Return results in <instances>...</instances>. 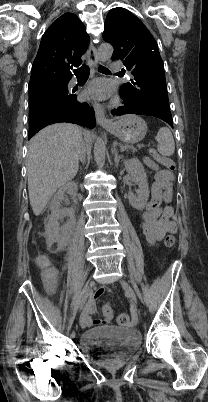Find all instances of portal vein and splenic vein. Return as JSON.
I'll use <instances>...</instances> for the list:
<instances>
[{
  "mask_svg": "<svg viewBox=\"0 0 208 402\" xmlns=\"http://www.w3.org/2000/svg\"><path fill=\"white\" fill-rule=\"evenodd\" d=\"M120 152H124V150H126V148H125V146H123V145H120Z\"/></svg>",
  "mask_w": 208,
  "mask_h": 402,
  "instance_id": "18ae733b",
  "label": "portal vein and splenic vein"
}]
</instances>
